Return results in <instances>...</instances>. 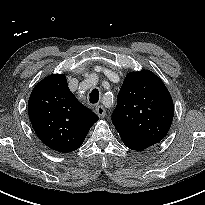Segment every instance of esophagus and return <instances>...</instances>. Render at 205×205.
Here are the masks:
<instances>
[{
	"label": "esophagus",
	"instance_id": "34e87169",
	"mask_svg": "<svg viewBox=\"0 0 205 205\" xmlns=\"http://www.w3.org/2000/svg\"><path fill=\"white\" fill-rule=\"evenodd\" d=\"M95 111H96L97 115L101 118H104L106 115L105 108L102 105L96 106Z\"/></svg>",
	"mask_w": 205,
	"mask_h": 205
}]
</instances>
